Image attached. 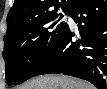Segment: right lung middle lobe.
Here are the masks:
<instances>
[{
    "label": "right lung middle lobe",
    "instance_id": "right-lung-middle-lobe-1",
    "mask_svg": "<svg viewBox=\"0 0 107 89\" xmlns=\"http://www.w3.org/2000/svg\"><path fill=\"white\" fill-rule=\"evenodd\" d=\"M62 16L57 19L54 14L8 26L3 57L9 85L33 77L68 28L66 22H59Z\"/></svg>",
    "mask_w": 107,
    "mask_h": 89
}]
</instances>
